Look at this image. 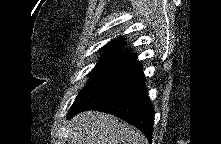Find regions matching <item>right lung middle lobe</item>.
Returning <instances> with one entry per match:
<instances>
[{
	"label": "right lung middle lobe",
	"instance_id": "right-lung-middle-lobe-1",
	"mask_svg": "<svg viewBox=\"0 0 221 144\" xmlns=\"http://www.w3.org/2000/svg\"><path fill=\"white\" fill-rule=\"evenodd\" d=\"M139 65L136 55L105 53L89 74L90 79L69 109L68 116L86 108L99 96L119 84Z\"/></svg>",
	"mask_w": 221,
	"mask_h": 144
}]
</instances>
